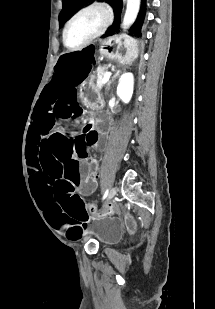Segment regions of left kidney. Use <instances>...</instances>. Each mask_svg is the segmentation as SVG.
<instances>
[{
  "mask_svg": "<svg viewBox=\"0 0 215 309\" xmlns=\"http://www.w3.org/2000/svg\"><path fill=\"white\" fill-rule=\"evenodd\" d=\"M134 76L132 72H124L119 78V84L117 86V94L120 96L123 102H129L133 94Z\"/></svg>",
  "mask_w": 215,
  "mask_h": 309,
  "instance_id": "5707ae66",
  "label": "left kidney"
}]
</instances>
